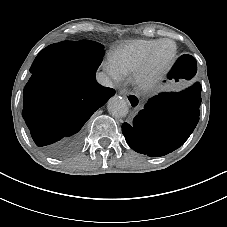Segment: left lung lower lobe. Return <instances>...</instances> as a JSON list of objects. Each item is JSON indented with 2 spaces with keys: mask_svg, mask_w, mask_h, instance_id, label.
<instances>
[{
  "mask_svg": "<svg viewBox=\"0 0 227 227\" xmlns=\"http://www.w3.org/2000/svg\"><path fill=\"white\" fill-rule=\"evenodd\" d=\"M196 68L173 71L174 77L190 79ZM201 85L179 93H161L151 98L134 118L123 123L122 132L129 146L151 157L164 156L179 148L191 135L199 121Z\"/></svg>",
  "mask_w": 227,
  "mask_h": 227,
  "instance_id": "obj_1",
  "label": "left lung lower lobe"
}]
</instances>
